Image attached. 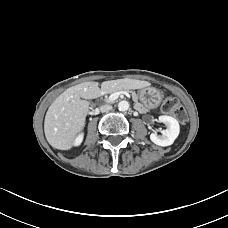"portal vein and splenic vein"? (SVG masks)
I'll use <instances>...</instances> for the list:
<instances>
[{
  "instance_id": "18ae733b",
  "label": "portal vein and splenic vein",
  "mask_w": 228,
  "mask_h": 228,
  "mask_svg": "<svg viewBox=\"0 0 228 228\" xmlns=\"http://www.w3.org/2000/svg\"><path fill=\"white\" fill-rule=\"evenodd\" d=\"M120 94H124L125 96L130 97V95H129L128 92L122 91V92H115V93L111 94V95L109 96V100H110V101L116 100V99L119 97Z\"/></svg>"
}]
</instances>
